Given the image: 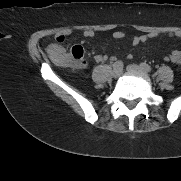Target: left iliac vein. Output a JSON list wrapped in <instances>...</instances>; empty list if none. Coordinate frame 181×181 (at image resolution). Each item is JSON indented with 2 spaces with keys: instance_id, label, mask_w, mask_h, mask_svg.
Returning a JSON list of instances; mask_svg holds the SVG:
<instances>
[{
  "instance_id": "4c4485c4",
  "label": "left iliac vein",
  "mask_w": 181,
  "mask_h": 181,
  "mask_svg": "<svg viewBox=\"0 0 181 181\" xmlns=\"http://www.w3.org/2000/svg\"><path fill=\"white\" fill-rule=\"evenodd\" d=\"M127 69L129 71H140V72L146 73V71L144 69H142L141 67H139L135 64H131V65L127 66Z\"/></svg>"
}]
</instances>
